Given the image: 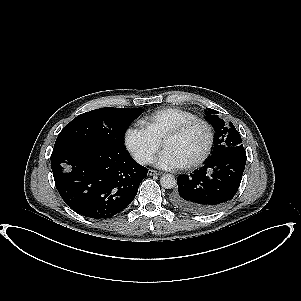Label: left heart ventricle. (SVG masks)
Listing matches in <instances>:
<instances>
[{
  "mask_svg": "<svg viewBox=\"0 0 301 301\" xmlns=\"http://www.w3.org/2000/svg\"><path fill=\"white\" fill-rule=\"evenodd\" d=\"M207 135L201 124H193L183 133L168 139L165 149H169L186 162L197 157L205 147Z\"/></svg>",
  "mask_w": 301,
  "mask_h": 301,
  "instance_id": "left-heart-ventricle-1",
  "label": "left heart ventricle"
}]
</instances>
